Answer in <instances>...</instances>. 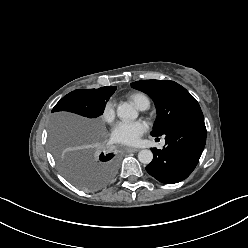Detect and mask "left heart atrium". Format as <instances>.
<instances>
[{
	"label": "left heart atrium",
	"mask_w": 248,
	"mask_h": 248,
	"mask_svg": "<svg viewBox=\"0 0 248 248\" xmlns=\"http://www.w3.org/2000/svg\"><path fill=\"white\" fill-rule=\"evenodd\" d=\"M146 130L141 121H120L112 129L113 141L125 145H135Z\"/></svg>",
	"instance_id": "left-heart-atrium-1"
}]
</instances>
